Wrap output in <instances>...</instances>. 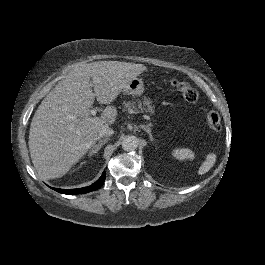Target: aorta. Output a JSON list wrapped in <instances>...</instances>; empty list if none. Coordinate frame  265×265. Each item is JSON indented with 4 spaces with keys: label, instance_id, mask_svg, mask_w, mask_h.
Listing matches in <instances>:
<instances>
[{
    "label": "aorta",
    "instance_id": "1",
    "mask_svg": "<svg viewBox=\"0 0 265 265\" xmlns=\"http://www.w3.org/2000/svg\"><path fill=\"white\" fill-rule=\"evenodd\" d=\"M138 147V139L135 136H127L122 141V148L125 151H134Z\"/></svg>",
    "mask_w": 265,
    "mask_h": 265
}]
</instances>
